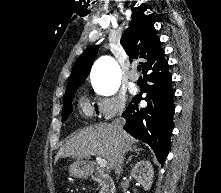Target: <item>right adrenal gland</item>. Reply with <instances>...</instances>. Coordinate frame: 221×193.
<instances>
[{
    "label": "right adrenal gland",
    "instance_id": "right-adrenal-gland-1",
    "mask_svg": "<svg viewBox=\"0 0 221 193\" xmlns=\"http://www.w3.org/2000/svg\"><path fill=\"white\" fill-rule=\"evenodd\" d=\"M132 151L135 153V155L129 156L128 160L126 161L125 166L128 165L129 162H131V160H132L133 157H137V156L140 154V151H142V149H141V148H136V147H134Z\"/></svg>",
    "mask_w": 221,
    "mask_h": 193
}]
</instances>
